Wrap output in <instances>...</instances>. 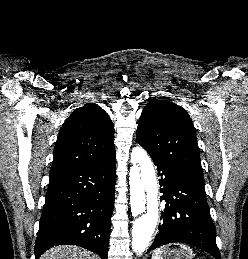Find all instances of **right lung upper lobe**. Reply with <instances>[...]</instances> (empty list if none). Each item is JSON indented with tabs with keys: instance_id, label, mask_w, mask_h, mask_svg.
<instances>
[{
	"instance_id": "cb5924a9",
	"label": "right lung upper lobe",
	"mask_w": 248,
	"mask_h": 259,
	"mask_svg": "<svg viewBox=\"0 0 248 259\" xmlns=\"http://www.w3.org/2000/svg\"><path fill=\"white\" fill-rule=\"evenodd\" d=\"M114 126L95 104L76 109L62 125L50 173L102 162L115 154Z\"/></svg>"
}]
</instances>
